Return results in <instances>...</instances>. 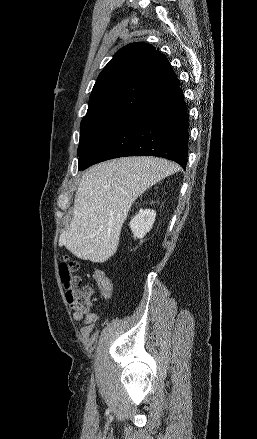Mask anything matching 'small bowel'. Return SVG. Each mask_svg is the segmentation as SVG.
Wrapping results in <instances>:
<instances>
[{
    "mask_svg": "<svg viewBox=\"0 0 257 439\" xmlns=\"http://www.w3.org/2000/svg\"><path fill=\"white\" fill-rule=\"evenodd\" d=\"M92 291H88L87 293V302L91 303ZM74 319L80 321L84 324V327L81 329L82 335L87 338L92 330L93 325L98 320V315L96 313H88L83 315L81 312L76 311L74 313Z\"/></svg>",
    "mask_w": 257,
    "mask_h": 439,
    "instance_id": "c3829d8e",
    "label": "small bowel"
}]
</instances>
